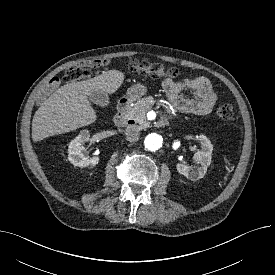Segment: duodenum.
Listing matches in <instances>:
<instances>
[{
  "label": "duodenum",
  "instance_id": "1",
  "mask_svg": "<svg viewBox=\"0 0 275 275\" xmlns=\"http://www.w3.org/2000/svg\"><path fill=\"white\" fill-rule=\"evenodd\" d=\"M130 105V100L123 98L120 100L117 106V113L114 117V123L118 127H124L130 123L128 117V108Z\"/></svg>",
  "mask_w": 275,
  "mask_h": 275
}]
</instances>
